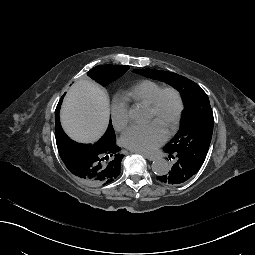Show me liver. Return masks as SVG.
I'll use <instances>...</instances> for the list:
<instances>
[{
  "mask_svg": "<svg viewBox=\"0 0 255 255\" xmlns=\"http://www.w3.org/2000/svg\"><path fill=\"white\" fill-rule=\"evenodd\" d=\"M109 118V102L97 84L78 80L68 92L62 108V124L70 137L92 142L105 131Z\"/></svg>",
  "mask_w": 255,
  "mask_h": 255,
  "instance_id": "liver-1",
  "label": "liver"
}]
</instances>
